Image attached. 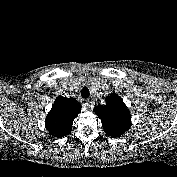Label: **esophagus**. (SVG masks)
<instances>
[{
    "mask_svg": "<svg viewBox=\"0 0 177 177\" xmlns=\"http://www.w3.org/2000/svg\"><path fill=\"white\" fill-rule=\"evenodd\" d=\"M84 106L86 108H93L94 102L91 99H87L86 102L84 103Z\"/></svg>",
    "mask_w": 177,
    "mask_h": 177,
    "instance_id": "esophagus-1",
    "label": "esophagus"
}]
</instances>
